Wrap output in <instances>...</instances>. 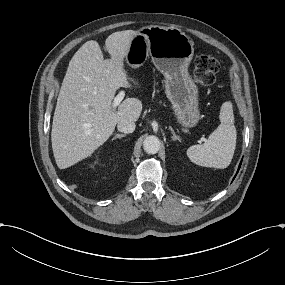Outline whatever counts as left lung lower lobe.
Wrapping results in <instances>:
<instances>
[{"label": "left lung lower lobe", "instance_id": "1", "mask_svg": "<svg viewBox=\"0 0 285 285\" xmlns=\"http://www.w3.org/2000/svg\"><path fill=\"white\" fill-rule=\"evenodd\" d=\"M241 162H242V161H241ZM240 166H241V163H240V165H239L238 171H239V169H240ZM238 171H237V173H238ZM237 173H236V174H237ZM235 176H236V175H235ZM234 178H235V177H234ZM234 178H233V179H234Z\"/></svg>", "mask_w": 285, "mask_h": 285}]
</instances>
